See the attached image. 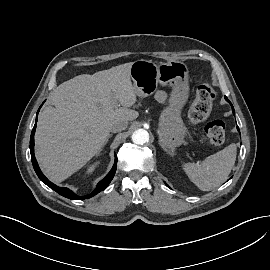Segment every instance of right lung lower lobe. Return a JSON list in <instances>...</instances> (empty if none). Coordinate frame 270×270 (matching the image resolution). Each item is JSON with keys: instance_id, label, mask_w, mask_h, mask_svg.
<instances>
[{"instance_id": "1", "label": "right lung lower lobe", "mask_w": 270, "mask_h": 270, "mask_svg": "<svg viewBox=\"0 0 270 270\" xmlns=\"http://www.w3.org/2000/svg\"><path fill=\"white\" fill-rule=\"evenodd\" d=\"M40 110V108H39ZM38 110V112H39ZM38 112L36 115V122L38 119ZM35 130H36V124L33 127L32 133H31V138H30V152H31V160H32V164L34 167L35 172L37 173L38 177L40 178V180L42 182H44L47 186H49L51 189H53L54 191H56L57 193H59L60 195L72 199V200H83V199H87L90 198L96 194H98L100 191H103L111 182V180L113 179L115 172H116V166H117V157H115V163L113 165V168L111 169V171L107 174V176L101 180L97 187L95 188V190L92 192V194L90 195H86V196H78L75 193H73L71 190H69L68 188H63V187H58L55 184H53L52 182H50L45 176L44 174L41 172L38 163L36 161L35 155H34V134H35Z\"/></svg>"}]
</instances>
